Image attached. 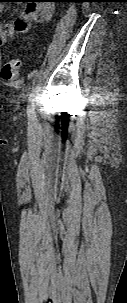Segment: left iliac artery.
I'll return each mask as SVG.
<instances>
[{"label": "left iliac artery", "mask_w": 127, "mask_h": 303, "mask_svg": "<svg viewBox=\"0 0 127 303\" xmlns=\"http://www.w3.org/2000/svg\"><path fill=\"white\" fill-rule=\"evenodd\" d=\"M28 100H29V106L27 108V115H28L29 119L33 120L35 118L34 105H33V101H34L33 93L29 94Z\"/></svg>", "instance_id": "44dca946"}]
</instances>
